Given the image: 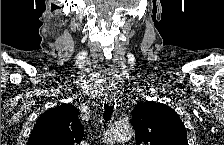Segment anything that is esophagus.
I'll use <instances>...</instances> for the list:
<instances>
[{"label":"esophagus","mask_w":224,"mask_h":145,"mask_svg":"<svg viewBox=\"0 0 224 145\" xmlns=\"http://www.w3.org/2000/svg\"><path fill=\"white\" fill-rule=\"evenodd\" d=\"M112 99H113V95L111 94L110 96H109V102L111 103L112 102Z\"/></svg>","instance_id":"obj_1"}]
</instances>
